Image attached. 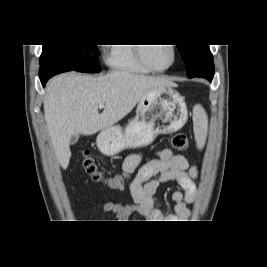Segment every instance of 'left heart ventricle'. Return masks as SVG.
Returning <instances> with one entry per match:
<instances>
[{"label": "left heart ventricle", "instance_id": "obj_1", "mask_svg": "<svg viewBox=\"0 0 267 267\" xmlns=\"http://www.w3.org/2000/svg\"><path fill=\"white\" fill-rule=\"evenodd\" d=\"M146 56L153 66L164 68L171 63L173 55L169 44H162L148 46L146 48Z\"/></svg>", "mask_w": 267, "mask_h": 267}]
</instances>
